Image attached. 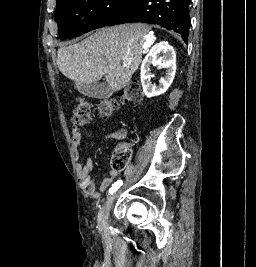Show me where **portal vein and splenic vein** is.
I'll list each match as a JSON object with an SVG mask.
<instances>
[{
	"mask_svg": "<svg viewBox=\"0 0 256 267\" xmlns=\"http://www.w3.org/2000/svg\"><path fill=\"white\" fill-rule=\"evenodd\" d=\"M124 66H127V64H124ZM127 68H129V66H127Z\"/></svg>",
	"mask_w": 256,
	"mask_h": 267,
	"instance_id": "1",
	"label": "portal vein and splenic vein"
}]
</instances>
